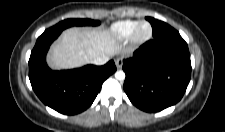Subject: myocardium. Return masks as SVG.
Segmentation results:
<instances>
[{
  "label": "myocardium",
  "mask_w": 225,
  "mask_h": 132,
  "mask_svg": "<svg viewBox=\"0 0 225 132\" xmlns=\"http://www.w3.org/2000/svg\"><path fill=\"white\" fill-rule=\"evenodd\" d=\"M143 26H147L148 30L146 33H142V28ZM153 34V29L152 26L149 22L147 21H142L137 24L135 29L133 30L131 36H130V41L133 45L135 46H140L147 41H149L152 37Z\"/></svg>",
  "instance_id": "1"
}]
</instances>
